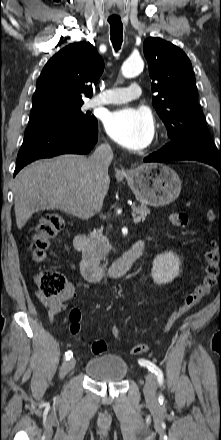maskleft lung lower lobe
Returning <instances> with one entry per match:
<instances>
[{"label":"left lung lower lobe","mask_w":221,"mask_h":440,"mask_svg":"<svg viewBox=\"0 0 221 440\" xmlns=\"http://www.w3.org/2000/svg\"><path fill=\"white\" fill-rule=\"evenodd\" d=\"M172 160H196L199 162H204L216 168L221 174V159L212 160L206 158L190 157L185 155H178L176 153L167 150L164 146L162 149L155 153L150 154L144 159V162H162V161H172Z\"/></svg>","instance_id":"obj_1"}]
</instances>
